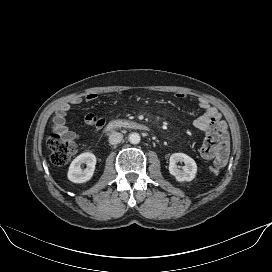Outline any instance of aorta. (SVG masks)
I'll return each mask as SVG.
<instances>
[{
	"label": "aorta",
	"mask_w": 272,
	"mask_h": 272,
	"mask_svg": "<svg viewBox=\"0 0 272 272\" xmlns=\"http://www.w3.org/2000/svg\"><path fill=\"white\" fill-rule=\"evenodd\" d=\"M141 138L138 133H131L129 135V141L131 144H138L140 142Z\"/></svg>",
	"instance_id": "1"
}]
</instances>
